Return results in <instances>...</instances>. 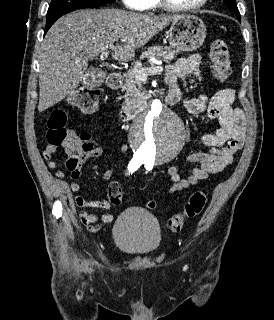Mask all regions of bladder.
Listing matches in <instances>:
<instances>
[{"mask_svg": "<svg viewBox=\"0 0 274 320\" xmlns=\"http://www.w3.org/2000/svg\"><path fill=\"white\" fill-rule=\"evenodd\" d=\"M113 237L122 252L133 256L152 253L162 240L157 220L142 208L124 210L114 223Z\"/></svg>", "mask_w": 274, "mask_h": 320, "instance_id": "1", "label": "bladder"}]
</instances>
